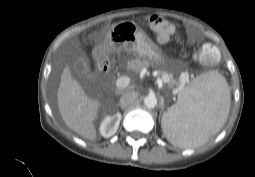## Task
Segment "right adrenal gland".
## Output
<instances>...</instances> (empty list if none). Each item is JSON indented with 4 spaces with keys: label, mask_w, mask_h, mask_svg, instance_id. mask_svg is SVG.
Segmentation results:
<instances>
[{
    "label": "right adrenal gland",
    "mask_w": 255,
    "mask_h": 177,
    "mask_svg": "<svg viewBox=\"0 0 255 177\" xmlns=\"http://www.w3.org/2000/svg\"><path fill=\"white\" fill-rule=\"evenodd\" d=\"M118 106H120V104H118ZM120 108H121L122 110H124V109H125L124 107H121V106H120Z\"/></svg>",
    "instance_id": "1"
}]
</instances>
